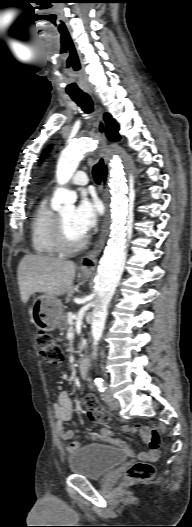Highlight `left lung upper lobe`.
I'll use <instances>...</instances> for the list:
<instances>
[{"label": "left lung upper lobe", "mask_w": 192, "mask_h": 527, "mask_svg": "<svg viewBox=\"0 0 192 527\" xmlns=\"http://www.w3.org/2000/svg\"><path fill=\"white\" fill-rule=\"evenodd\" d=\"M104 119L106 121V136L111 141H118L120 140V135L118 134L119 126L117 122L111 117L110 114H105ZM48 149L45 150L43 157L47 153Z\"/></svg>", "instance_id": "5c2ea615"}]
</instances>
